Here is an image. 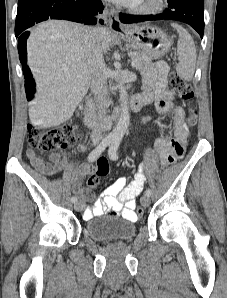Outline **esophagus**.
<instances>
[{"instance_id": "34e87169", "label": "esophagus", "mask_w": 227, "mask_h": 298, "mask_svg": "<svg viewBox=\"0 0 227 298\" xmlns=\"http://www.w3.org/2000/svg\"><path fill=\"white\" fill-rule=\"evenodd\" d=\"M106 19L108 21V25L111 30H113L115 32L124 31V27L121 24V22L119 21L118 13L115 9H111L108 12Z\"/></svg>"}]
</instances>
